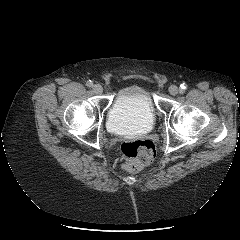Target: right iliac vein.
<instances>
[{
  "instance_id": "63e3f726",
  "label": "right iliac vein",
  "mask_w": 240,
  "mask_h": 240,
  "mask_svg": "<svg viewBox=\"0 0 240 240\" xmlns=\"http://www.w3.org/2000/svg\"><path fill=\"white\" fill-rule=\"evenodd\" d=\"M93 91L96 93V94H101L103 92V87L99 84H95L93 86Z\"/></svg>"
}]
</instances>
